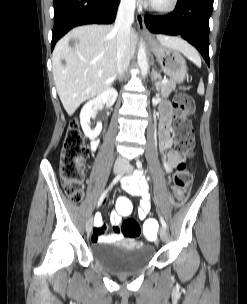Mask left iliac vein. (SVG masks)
I'll use <instances>...</instances> for the list:
<instances>
[{"instance_id":"obj_1","label":"left iliac vein","mask_w":247,"mask_h":304,"mask_svg":"<svg viewBox=\"0 0 247 304\" xmlns=\"http://www.w3.org/2000/svg\"><path fill=\"white\" fill-rule=\"evenodd\" d=\"M132 166H131V164L130 163H127L126 165H125V171H126V174H131L132 173ZM160 238H161V240L162 241H166V239H167V231H166V229L164 228V227H162L161 229H160Z\"/></svg>"}]
</instances>
